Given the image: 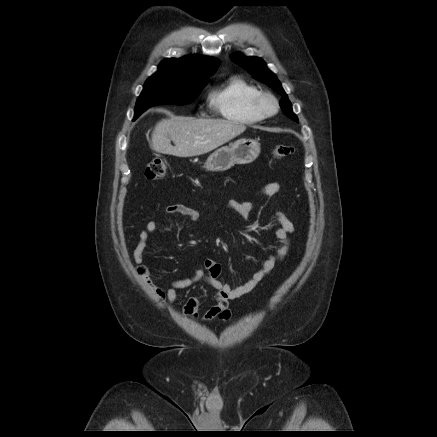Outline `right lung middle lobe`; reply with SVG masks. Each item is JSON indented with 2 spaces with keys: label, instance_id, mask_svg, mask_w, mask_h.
<instances>
[{
  "label": "right lung middle lobe",
  "instance_id": "obj_1",
  "mask_svg": "<svg viewBox=\"0 0 437 437\" xmlns=\"http://www.w3.org/2000/svg\"><path fill=\"white\" fill-rule=\"evenodd\" d=\"M207 82L208 80L187 82L171 76L152 75L145 82L136 102L134 119L154 105L191 103Z\"/></svg>",
  "mask_w": 437,
  "mask_h": 437
}]
</instances>
